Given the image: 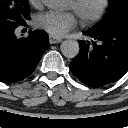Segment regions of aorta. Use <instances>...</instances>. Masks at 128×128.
Listing matches in <instances>:
<instances>
[{
  "label": "aorta",
  "mask_w": 128,
  "mask_h": 128,
  "mask_svg": "<svg viewBox=\"0 0 128 128\" xmlns=\"http://www.w3.org/2000/svg\"><path fill=\"white\" fill-rule=\"evenodd\" d=\"M45 6L50 9L60 10L66 6V0H43ZM62 54L67 58H75L79 53V44L75 40H65L60 46Z\"/></svg>",
  "instance_id": "aorta-1"
}]
</instances>
